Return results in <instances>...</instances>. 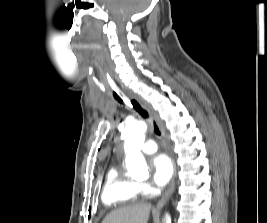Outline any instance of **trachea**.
Segmentation results:
<instances>
[{
    "instance_id": "obj_1",
    "label": "trachea",
    "mask_w": 267,
    "mask_h": 223,
    "mask_svg": "<svg viewBox=\"0 0 267 223\" xmlns=\"http://www.w3.org/2000/svg\"><path fill=\"white\" fill-rule=\"evenodd\" d=\"M110 83L116 89V91H114V93H113L114 98L119 103L123 104L125 97H124L123 93L121 92L119 85L114 81V79H112V77H111ZM131 104L133 105L134 109L137 110L141 114L142 117H144V118L149 117L148 112L145 109H143L136 100H131ZM153 125H154L155 134L160 136L161 132H160V129H159V127L155 121H153Z\"/></svg>"
}]
</instances>
